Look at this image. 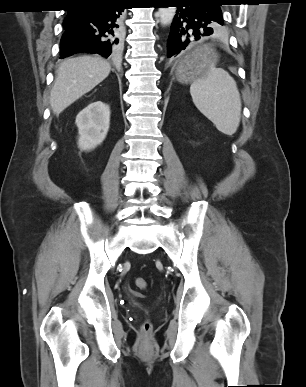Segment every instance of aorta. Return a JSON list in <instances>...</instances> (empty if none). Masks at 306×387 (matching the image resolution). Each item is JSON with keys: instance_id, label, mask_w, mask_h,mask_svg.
<instances>
[{"instance_id": "1", "label": "aorta", "mask_w": 306, "mask_h": 387, "mask_svg": "<svg viewBox=\"0 0 306 387\" xmlns=\"http://www.w3.org/2000/svg\"><path fill=\"white\" fill-rule=\"evenodd\" d=\"M176 14V7H160L158 11L160 23L164 26L172 23Z\"/></svg>"}]
</instances>
